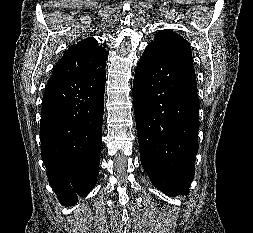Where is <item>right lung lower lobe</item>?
Instances as JSON below:
<instances>
[{
	"label": "right lung lower lobe",
	"instance_id": "1",
	"mask_svg": "<svg viewBox=\"0 0 253 233\" xmlns=\"http://www.w3.org/2000/svg\"><path fill=\"white\" fill-rule=\"evenodd\" d=\"M105 68L53 75L41 109L42 160L49 183L62 204L77 203L99 173Z\"/></svg>",
	"mask_w": 253,
	"mask_h": 233
}]
</instances>
